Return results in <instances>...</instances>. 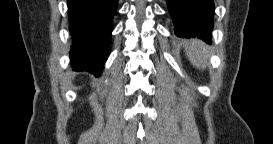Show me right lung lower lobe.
Here are the masks:
<instances>
[{
    "instance_id": "98d812e1",
    "label": "right lung lower lobe",
    "mask_w": 273,
    "mask_h": 144,
    "mask_svg": "<svg viewBox=\"0 0 273 144\" xmlns=\"http://www.w3.org/2000/svg\"><path fill=\"white\" fill-rule=\"evenodd\" d=\"M118 0H68L69 29L75 70L99 76L110 50L112 19Z\"/></svg>"
}]
</instances>
